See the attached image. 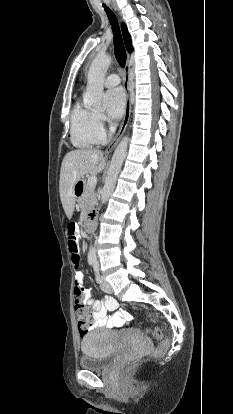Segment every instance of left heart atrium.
<instances>
[{
  "instance_id": "left-heart-atrium-1",
  "label": "left heart atrium",
  "mask_w": 233,
  "mask_h": 414,
  "mask_svg": "<svg viewBox=\"0 0 233 414\" xmlns=\"http://www.w3.org/2000/svg\"><path fill=\"white\" fill-rule=\"evenodd\" d=\"M125 93L121 88H113L104 94L106 112L111 119H118L125 109Z\"/></svg>"
}]
</instances>
